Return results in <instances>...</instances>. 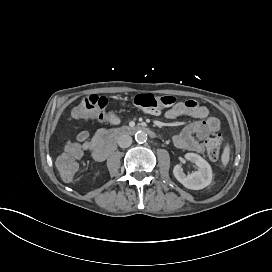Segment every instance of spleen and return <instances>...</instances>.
I'll return each instance as SVG.
<instances>
[{
  "mask_svg": "<svg viewBox=\"0 0 272 272\" xmlns=\"http://www.w3.org/2000/svg\"><path fill=\"white\" fill-rule=\"evenodd\" d=\"M228 158H229V151H228V149H226V150L224 151V154H223V162H224V163H227Z\"/></svg>",
  "mask_w": 272,
  "mask_h": 272,
  "instance_id": "spleen-1",
  "label": "spleen"
}]
</instances>
